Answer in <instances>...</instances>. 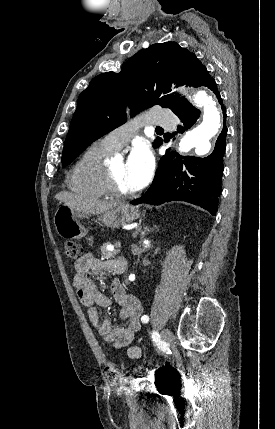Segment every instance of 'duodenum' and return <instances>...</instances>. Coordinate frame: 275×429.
<instances>
[{
  "label": "duodenum",
  "mask_w": 275,
  "mask_h": 429,
  "mask_svg": "<svg viewBox=\"0 0 275 429\" xmlns=\"http://www.w3.org/2000/svg\"><path fill=\"white\" fill-rule=\"evenodd\" d=\"M126 268V263L122 260L118 261L115 266V272L118 274L124 273Z\"/></svg>",
  "instance_id": "1"
}]
</instances>
